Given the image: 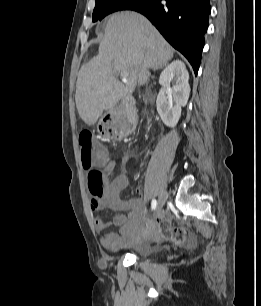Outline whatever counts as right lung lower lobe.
<instances>
[{"label": "right lung lower lobe", "instance_id": "obj_1", "mask_svg": "<svg viewBox=\"0 0 261 306\" xmlns=\"http://www.w3.org/2000/svg\"><path fill=\"white\" fill-rule=\"evenodd\" d=\"M142 0L130 10L145 15L164 38L190 62L197 74L204 34L208 28L209 0Z\"/></svg>", "mask_w": 261, "mask_h": 306}]
</instances>
